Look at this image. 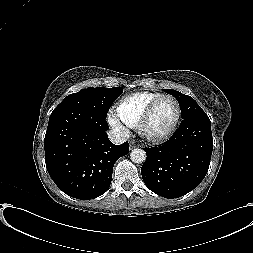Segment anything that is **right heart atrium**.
<instances>
[{
	"mask_svg": "<svg viewBox=\"0 0 253 253\" xmlns=\"http://www.w3.org/2000/svg\"><path fill=\"white\" fill-rule=\"evenodd\" d=\"M108 121L111 124V126L116 129L119 133L125 135L127 134V128L118 120V118L113 114L109 113L108 115Z\"/></svg>",
	"mask_w": 253,
	"mask_h": 253,
	"instance_id": "right-heart-atrium-1",
	"label": "right heart atrium"
}]
</instances>
